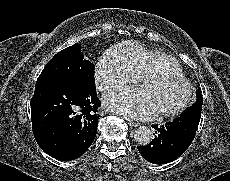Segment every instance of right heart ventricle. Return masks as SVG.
I'll return each mask as SVG.
<instances>
[{
    "mask_svg": "<svg viewBox=\"0 0 230 181\" xmlns=\"http://www.w3.org/2000/svg\"><path fill=\"white\" fill-rule=\"evenodd\" d=\"M107 62L133 78L149 72H168L183 76L179 64L170 56L148 49L138 41H125L113 46L106 54Z\"/></svg>",
    "mask_w": 230,
    "mask_h": 181,
    "instance_id": "obj_1",
    "label": "right heart ventricle"
}]
</instances>
